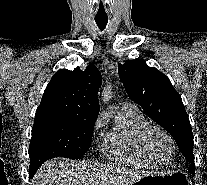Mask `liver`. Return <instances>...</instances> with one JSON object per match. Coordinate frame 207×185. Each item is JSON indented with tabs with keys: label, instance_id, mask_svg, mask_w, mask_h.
Listing matches in <instances>:
<instances>
[{
	"label": "liver",
	"instance_id": "6515ba94",
	"mask_svg": "<svg viewBox=\"0 0 207 185\" xmlns=\"http://www.w3.org/2000/svg\"><path fill=\"white\" fill-rule=\"evenodd\" d=\"M93 175L86 163L52 159L42 165L31 185H90Z\"/></svg>",
	"mask_w": 207,
	"mask_h": 185
}]
</instances>
